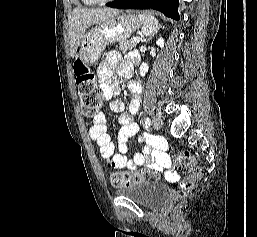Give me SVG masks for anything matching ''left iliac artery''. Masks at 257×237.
I'll return each mask as SVG.
<instances>
[{
	"label": "left iliac artery",
	"mask_w": 257,
	"mask_h": 237,
	"mask_svg": "<svg viewBox=\"0 0 257 237\" xmlns=\"http://www.w3.org/2000/svg\"><path fill=\"white\" fill-rule=\"evenodd\" d=\"M144 124H145L146 128H148V127L150 126L151 120H150L149 117H147V118L145 119Z\"/></svg>",
	"instance_id": "left-iliac-artery-1"
}]
</instances>
